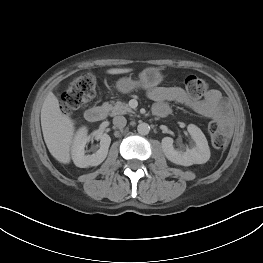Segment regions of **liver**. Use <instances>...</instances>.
Segmentation results:
<instances>
[{
  "label": "liver",
  "instance_id": "1",
  "mask_svg": "<svg viewBox=\"0 0 263 263\" xmlns=\"http://www.w3.org/2000/svg\"><path fill=\"white\" fill-rule=\"evenodd\" d=\"M130 68H111L108 74L131 72ZM41 126L44 141L51 155L63 164L70 163V149L74 135L72 119L62 113L57 97L49 92L41 109Z\"/></svg>",
  "mask_w": 263,
  "mask_h": 263
}]
</instances>
